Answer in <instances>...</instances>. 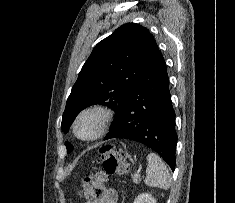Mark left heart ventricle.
Wrapping results in <instances>:
<instances>
[{"mask_svg":"<svg viewBox=\"0 0 235 203\" xmlns=\"http://www.w3.org/2000/svg\"><path fill=\"white\" fill-rule=\"evenodd\" d=\"M98 127V118L95 115L85 116L78 124V132L83 137L93 135Z\"/></svg>","mask_w":235,"mask_h":203,"instance_id":"left-heart-ventricle-1","label":"left heart ventricle"}]
</instances>
